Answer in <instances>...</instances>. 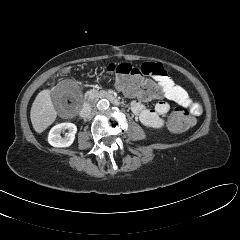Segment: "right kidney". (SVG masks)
I'll list each match as a JSON object with an SVG mask.
<instances>
[{"instance_id": "ca27d5eb", "label": "right kidney", "mask_w": 240, "mask_h": 240, "mask_svg": "<svg viewBox=\"0 0 240 240\" xmlns=\"http://www.w3.org/2000/svg\"><path fill=\"white\" fill-rule=\"evenodd\" d=\"M67 130L65 137H61L60 134ZM77 132V127L73 123H60L55 125L48 134V142L54 147H68L70 146Z\"/></svg>"}]
</instances>
